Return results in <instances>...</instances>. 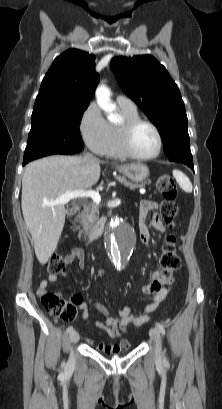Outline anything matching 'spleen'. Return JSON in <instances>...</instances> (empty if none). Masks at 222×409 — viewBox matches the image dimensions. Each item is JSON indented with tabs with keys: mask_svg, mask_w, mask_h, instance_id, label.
<instances>
[{
	"mask_svg": "<svg viewBox=\"0 0 222 409\" xmlns=\"http://www.w3.org/2000/svg\"><path fill=\"white\" fill-rule=\"evenodd\" d=\"M173 176L175 177L177 183L180 185L182 190H184L187 193L192 192V184L188 177L181 171L179 170H173Z\"/></svg>",
	"mask_w": 222,
	"mask_h": 409,
	"instance_id": "obj_1",
	"label": "spleen"
}]
</instances>
